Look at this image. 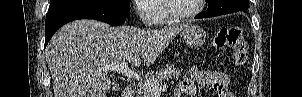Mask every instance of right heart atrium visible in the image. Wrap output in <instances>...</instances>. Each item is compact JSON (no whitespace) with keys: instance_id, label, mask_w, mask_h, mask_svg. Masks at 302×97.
Returning <instances> with one entry per match:
<instances>
[{"instance_id":"right-heart-atrium-1","label":"right heart atrium","mask_w":302,"mask_h":97,"mask_svg":"<svg viewBox=\"0 0 302 97\" xmlns=\"http://www.w3.org/2000/svg\"><path fill=\"white\" fill-rule=\"evenodd\" d=\"M155 0H136V13L140 21L146 25L158 23L159 12Z\"/></svg>"}]
</instances>
